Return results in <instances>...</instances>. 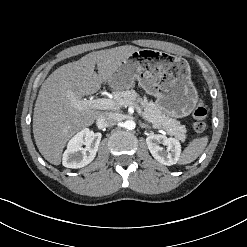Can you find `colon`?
<instances>
[{
  "label": "colon",
  "instance_id": "5ec220e1",
  "mask_svg": "<svg viewBox=\"0 0 247 247\" xmlns=\"http://www.w3.org/2000/svg\"><path fill=\"white\" fill-rule=\"evenodd\" d=\"M207 110L202 102H198L193 110V128L196 132H203L205 129V118Z\"/></svg>",
  "mask_w": 247,
  "mask_h": 247
}]
</instances>
